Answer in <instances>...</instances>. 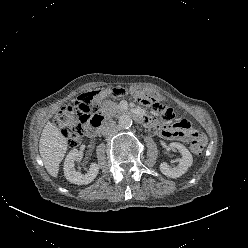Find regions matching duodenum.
<instances>
[{
	"mask_svg": "<svg viewBox=\"0 0 248 248\" xmlns=\"http://www.w3.org/2000/svg\"><path fill=\"white\" fill-rule=\"evenodd\" d=\"M118 115H130L132 116L135 120H137L138 122L146 125V126H154V120L148 116H145L139 112L136 111H132L129 109H125V108H115L111 111H108L100 116L95 117L92 121L91 124L87 130L88 135L91 137H95L101 126L103 125V123L107 120H109L110 118H112L113 116H118Z\"/></svg>",
	"mask_w": 248,
	"mask_h": 248,
	"instance_id": "duodenum-1",
	"label": "duodenum"
}]
</instances>
